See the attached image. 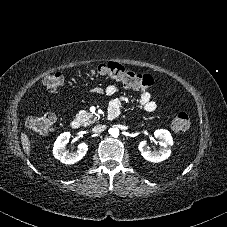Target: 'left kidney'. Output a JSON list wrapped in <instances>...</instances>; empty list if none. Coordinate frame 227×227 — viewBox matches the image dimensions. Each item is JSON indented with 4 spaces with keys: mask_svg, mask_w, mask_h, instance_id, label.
I'll list each match as a JSON object with an SVG mask.
<instances>
[{
    "mask_svg": "<svg viewBox=\"0 0 227 227\" xmlns=\"http://www.w3.org/2000/svg\"><path fill=\"white\" fill-rule=\"evenodd\" d=\"M154 136L160 140V145L162 147L158 152H151L147 146L146 140L139 143L138 149L146 160L156 163L161 162L170 156V147L173 145V139L170 132L164 129L156 130Z\"/></svg>",
    "mask_w": 227,
    "mask_h": 227,
    "instance_id": "1",
    "label": "left kidney"
}]
</instances>
